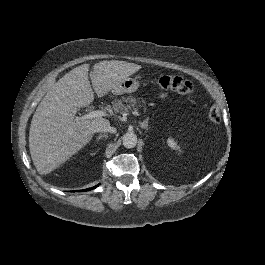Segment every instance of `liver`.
Wrapping results in <instances>:
<instances>
[{
	"label": "liver",
	"instance_id": "1",
	"mask_svg": "<svg viewBox=\"0 0 265 265\" xmlns=\"http://www.w3.org/2000/svg\"><path fill=\"white\" fill-rule=\"evenodd\" d=\"M140 66L125 61H103L91 70L92 86L98 96L114 84L132 75ZM89 65L83 64L66 73L39 103L29 131V148L40 174L49 173L88 142L96 126L108 123L103 118L79 119L77 108L94 99L88 79Z\"/></svg>",
	"mask_w": 265,
	"mask_h": 265
}]
</instances>
